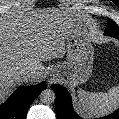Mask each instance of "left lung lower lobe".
<instances>
[{"mask_svg": "<svg viewBox=\"0 0 119 119\" xmlns=\"http://www.w3.org/2000/svg\"><path fill=\"white\" fill-rule=\"evenodd\" d=\"M105 35L119 39V35H110L109 33H105ZM52 88L56 94L55 111L58 119H82L74 112L71 96L68 91L55 84L52 85ZM101 119H119V109L111 115Z\"/></svg>", "mask_w": 119, "mask_h": 119, "instance_id": "left-lung-lower-lobe-1", "label": "left lung lower lobe"}]
</instances>
